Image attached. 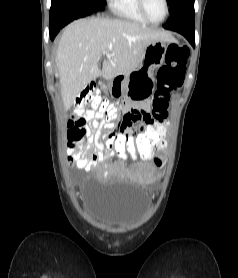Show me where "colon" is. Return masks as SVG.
Wrapping results in <instances>:
<instances>
[{
    "label": "colon",
    "instance_id": "5ec220e1",
    "mask_svg": "<svg viewBox=\"0 0 238 278\" xmlns=\"http://www.w3.org/2000/svg\"><path fill=\"white\" fill-rule=\"evenodd\" d=\"M189 51L176 43L170 44L165 53V61L157 71V90L153 100V117L157 124H148V129H168L167 116L171 95L184 81ZM101 115L107 121L98 132V146L101 156L112 159H129L133 162H146L156 156L157 149H167L168 142L163 141L166 130H146L138 137H119V127L124 114H121L110 100L94 86L87 87L75 101L72 119L67 123L69 140H80L85 136L87 120ZM117 153V154H114ZM69 163L73 165L71 157Z\"/></svg>",
    "mask_w": 238,
    "mask_h": 278
}]
</instances>
